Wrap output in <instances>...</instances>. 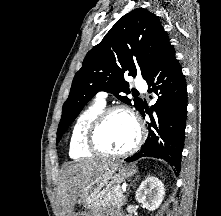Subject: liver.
I'll use <instances>...</instances> for the list:
<instances>
[{"mask_svg":"<svg viewBox=\"0 0 221 216\" xmlns=\"http://www.w3.org/2000/svg\"><path fill=\"white\" fill-rule=\"evenodd\" d=\"M112 163L110 160L85 159L68 166L63 171L58 186V196L64 216H70L84 187Z\"/></svg>","mask_w":221,"mask_h":216,"instance_id":"obj_1","label":"liver"}]
</instances>
